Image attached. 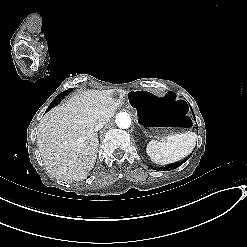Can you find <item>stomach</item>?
I'll return each mask as SVG.
<instances>
[{
	"label": "stomach",
	"mask_w": 247,
	"mask_h": 247,
	"mask_svg": "<svg viewBox=\"0 0 247 247\" xmlns=\"http://www.w3.org/2000/svg\"><path fill=\"white\" fill-rule=\"evenodd\" d=\"M127 97L149 137L165 139L186 132L192 125L187 103L174 92L157 94L150 90H134Z\"/></svg>",
	"instance_id": "obj_1"
}]
</instances>
